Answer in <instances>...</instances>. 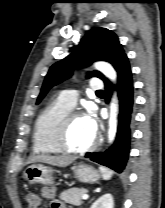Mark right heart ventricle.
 <instances>
[{
  "label": "right heart ventricle",
  "instance_id": "1",
  "mask_svg": "<svg viewBox=\"0 0 165 208\" xmlns=\"http://www.w3.org/2000/svg\"><path fill=\"white\" fill-rule=\"evenodd\" d=\"M71 108L59 100L46 106L38 115L33 130V150L37 154L60 153L55 142L58 125Z\"/></svg>",
  "mask_w": 165,
  "mask_h": 208
}]
</instances>
